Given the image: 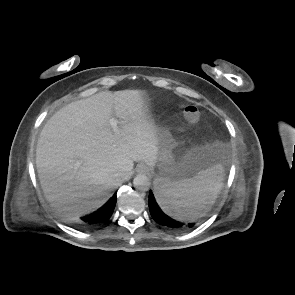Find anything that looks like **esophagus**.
Returning <instances> with one entry per match:
<instances>
[{
    "instance_id": "34e87169",
    "label": "esophagus",
    "mask_w": 295,
    "mask_h": 295,
    "mask_svg": "<svg viewBox=\"0 0 295 295\" xmlns=\"http://www.w3.org/2000/svg\"><path fill=\"white\" fill-rule=\"evenodd\" d=\"M136 171H137L138 173H143V174H145V173L148 172V167H147L145 164H139V165L137 166V168H136Z\"/></svg>"
}]
</instances>
